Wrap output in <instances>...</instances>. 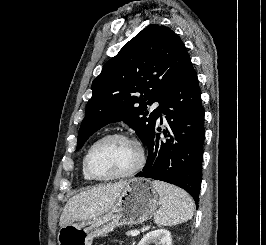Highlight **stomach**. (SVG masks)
Listing matches in <instances>:
<instances>
[{"mask_svg": "<svg viewBox=\"0 0 266 245\" xmlns=\"http://www.w3.org/2000/svg\"><path fill=\"white\" fill-rule=\"evenodd\" d=\"M159 205V197L147 179H130L118 201L107 213L81 223L65 225L59 231V245H92L94 237H107L115 227L137 225L151 219Z\"/></svg>", "mask_w": 266, "mask_h": 245, "instance_id": "1", "label": "stomach"}]
</instances>
